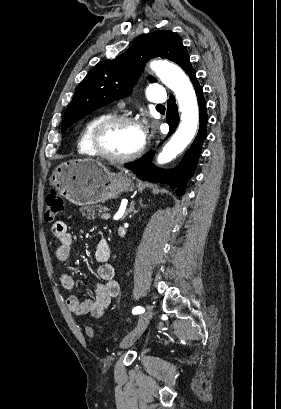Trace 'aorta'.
<instances>
[{
    "instance_id": "obj_1",
    "label": "aorta",
    "mask_w": 281,
    "mask_h": 409,
    "mask_svg": "<svg viewBox=\"0 0 281 409\" xmlns=\"http://www.w3.org/2000/svg\"><path fill=\"white\" fill-rule=\"evenodd\" d=\"M150 67L160 80L170 88L178 101L181 122L177 131L158 155L159 164L168 163L192 141L199 123V109L195 91L185 73L167 61H153Z\"/></svg>"
}]
</instances>
